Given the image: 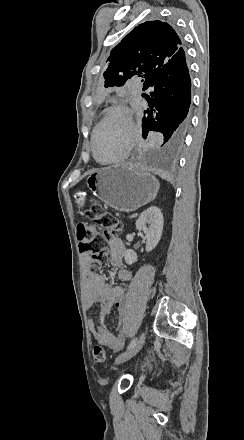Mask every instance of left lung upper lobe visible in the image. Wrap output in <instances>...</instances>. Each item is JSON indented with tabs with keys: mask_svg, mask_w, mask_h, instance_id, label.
I'll use <instances>...</instances> for the list:
<instances>
[{
	"mask_svg": "<svg viewBox=\"0 0 244 440\" xmlns=\"http://www.w3.org/2000/svg\"><path fill=\"white\" fill-rule=\"evenodd\" d=\"M185 59L182 42L175 30L158 20L139 24L112 49L104 86H123L131 77H144L143 85L162 68Z\"/></svg>",
	"mask_w": 244,
	"mask_h": 440,
	"instance_id": "left-lung-upper-lobe-1",
	"label": "left lung upper lobe"
}]
</instances>
